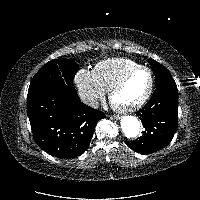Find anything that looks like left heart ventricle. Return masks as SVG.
Returning a JSON list of instances; mask_svg holds the SVG:
<instances>
[{"instance_id": "obj_1", "label": "left heart ventricle", "mask_w": 200, "mask_h": 200, "mask_svg": "<svg viewBox=\"0 0 200 200\" xmlns=\"http://www.w3.org/2000/svg\"><path fill=\"white\" fill-rule=\"evenodd\" d=\"M149 84V73L147 71L137 72L116 93L114 97V103L120 106L136 103L145 95L148 90Z\"/></svg>"}]
</instances>
